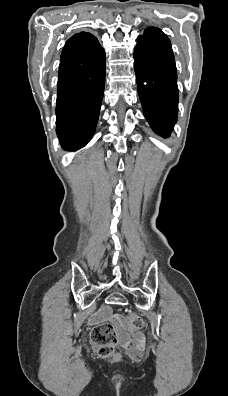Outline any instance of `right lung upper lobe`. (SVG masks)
<instances>
[{
  "mask_svg": "<svg viewBox=\"0 0 228 396\" xmlns=\"http://www.w3.org/2000/svg\"><path fill=\"white\" fill-rule=\"evenodd\" d=\"M74 39L78 49H91L95 46L97 38L88 32H80L72 36L69 40Z\"/></svg>",
  "mask_w": 228,
  "mask_h": 396,
  "instance_id": "obj_1",
  "label": "right lung upper lobe"
}]
</instances>
